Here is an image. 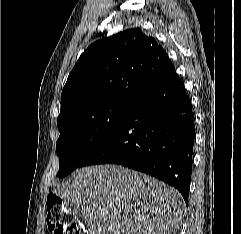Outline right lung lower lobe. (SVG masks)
Wrapping results in <instances>:
<instances>
[{"instance_id":"98d812e1","label":"right lung lower lobe","mask_w":241,"mask_h":234,"mask_svg":"<svg viewBox=\"0 0 241 234\" xmlns=\"http://www.w3.org/2000/svg\"><path fill=\"white\" fill-rule=\"evenodd\" d=\"M192 106L175 69L133 102L80 167L123 165L177 188L188 204L194 144Z\"/></svg>"}]
</instances>
